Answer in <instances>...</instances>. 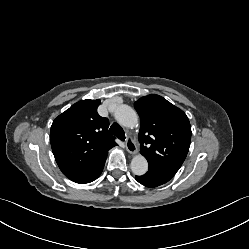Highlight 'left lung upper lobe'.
Returning <instances> with one entry per match:
<instances>
[{
  "label": "left lung upper lobe",
  "instance_id": "left-lung-upper-lobe-1",
  "mask_svg": "<svg viewBox=\"0 0 249 249\" xmlns=\"http://www.w3.org/2000/svg\"><path fill=\"white\" fill-rule=\"evenodd\" d=\"M134 107L141 121V154L147 159L149 167L174 176L190 147L191 126L188 117L181 109L156 94L140 98Z\"/></svg>",
  "mask_w": 249,
  "mask_h": 249
}]
</instances>
